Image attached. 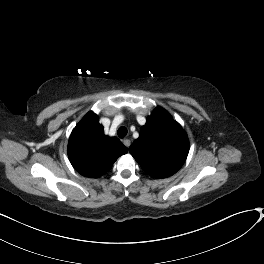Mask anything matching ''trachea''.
I'll use <instances>...</instances> for the list:
<instances>
[{
	"label": "trachea",
	"instance_id": "obj_1",
	"mask_svg": "<svg viewBox=\"0 0 264 264\" xmlns=\"http://www.w3.org/2000/svg\"><path fill=\"white\" fill-rule=\"evenodd\" d=\"M127 128L122 126L118 129L117 134L120 138H124L127 135Z\"/></svg>",
	"mask_w": 264,
	"mask_h": 264
}]
</instances>
